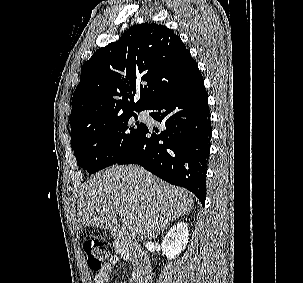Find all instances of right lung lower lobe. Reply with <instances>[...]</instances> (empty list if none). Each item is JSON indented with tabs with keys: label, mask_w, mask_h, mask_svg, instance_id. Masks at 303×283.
Segmentation results:
<instances>
[{
	"label": "right lung lower lobe",
	"mask_w": 303,
	"mask_h": 283,
	"mask_svg": "<svg viewBox=\"0 0 303 283\" xmlns=\"http://www.w3.org/2000/svg\"><path fill=\"white\" fill-rule=\"evenodd\" d=\"M147 109L156 110L150 115L166 129L151 133L146 126L132 149L116 164L141 165L168 183L187 188L204 204L212 127L202 75Z\"/></svg>",
	"instance_id": "98d812e1"
}]
</instances>
